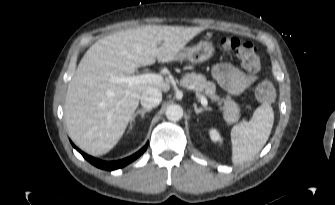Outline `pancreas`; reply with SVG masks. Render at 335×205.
I'll list each match as a JSON object with an SVG mask.
<instances>
[{
  "instance_id": "obj_1",
  "label": "pancreas",
  "mask_w": 335,
  "mask_h": 205,
  "mask_svg": "<svg viewBox=\"0 0 335 205\" xmlns=\"http://www.w3.org/2000/svg\"><path fill=\"white\" fill-rule=\"evenodd\" d=\"M181 86L188 89H193L198 93H203L211 99V101L218 102L223 111V118L227 124L238 122L240 118V108L238 104L232 100L229 96L225 99L220 98L216 94V85L211 81H207L205 76L202 74H196L195 72L187 73L183 76L180 81Z\"/></svg>"
}]
</instances>
